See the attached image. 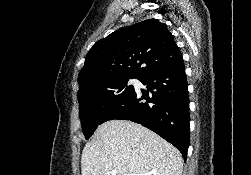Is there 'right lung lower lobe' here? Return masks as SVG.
Returning <instances> with one entry per match:
<instances>
[{
	"label": "right lung lower lobe",
	"mask_w": 251,
	"mask_h": 175,
	"mask_svg": "<svg viewBox=\"0 0 251 175\" xmlns=\"http://www.w3.org/2000/svg\"><path fill=\"white\" fill-rule=\"evenodd\" d=\"M139 80L147 90L134 89L103 116L102 123L113 119L139 123L173 144L186 160L190 113L183 60L154 70Z\"/></svg>",
	"instance_id": "98d812e1"
}]
</instances>
